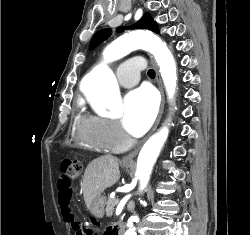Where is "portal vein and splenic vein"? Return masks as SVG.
Listing matches in <instances>:
<instances>
[{
	"instance_id": "portal-vein-and-splenic-vein-1",
	"label": "portal vein and splenic vein",
	"mask_w": 250,
	"mask_h": 235,
	"mask_svg": "<svg viewBox=\"0 0 250 235\" xmlns=\"http://www.w3.org/2000/svg\"><path fill=\"white\" fill-rule=\"evenodd\" d=\"M115 203L118 204L119 203V199H116Z\"/></svg>"
}]
</instances>
